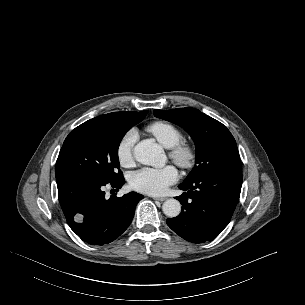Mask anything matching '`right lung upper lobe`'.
<instances>
[{
	"label": "right lung upper lobe",
	"mask_w": 305,
	"mask_h": 305,
	"mask_svg": "<svg viewBox=\"0 0 305 305\" xmlns=\"http://www.w3.org/2000/svg\"><path fill=\"white\" fill-rule=\"evenodd\" d=\"M148 111H143V112H114V113H109L106 115H102L105 117H110V118H116L120 120H131L133 118H139L144 116V113Z\"/></svg>",
	"instance_id": "1"
}]
</instances>
